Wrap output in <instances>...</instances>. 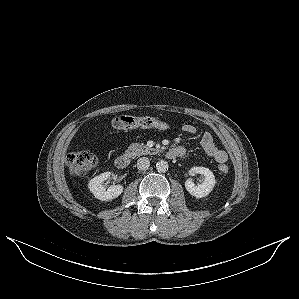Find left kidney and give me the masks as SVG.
<instances>
[{
  "label": "left kidney",
  "instance_id": "left-kidney-1",
  "mask_svg": "<svg viewBox=\"0 0 299 299\" xmlns=\"http://www.w3.org/2000/svg\"><path fill=\"white\" fill-rule=\"evenodd\" d=\"M194 173L201 174L204 177V181L202 184L196 186L192 182V179H187L185 182L186 190L196 198L207 196L212 191L216 183L214 174L211 170L205 167H193L190 170V174L193 175Z\"/></svg>",
  "mask_w": 299,
  "mask_h": 299
}]
</instances>
